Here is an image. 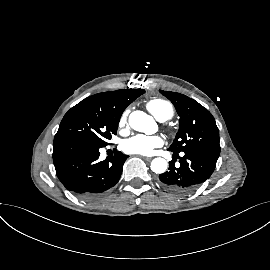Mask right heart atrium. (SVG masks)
I'll use <instances>...</instances> for the list:
<instances>
[{
  "label": "right heart atrium",
  "instance_id": "right-heart-atrium-1",
  "mask_svg": "<svg viewBox=\"0 0 270 270\" xmlns=\"http://www.w3.org/2000/svg\"><path fill=\"white\" fill-rule=\"evenodd\" d=\"M128 115H129V111H128V110H125V111L121 114V116H120V118H119V122H118V125H119L120 128L126 127V125H127V120H128Z\"/></svg>",
  "mask_w": 270,
  "mask_h": 270
}]
</instances>
